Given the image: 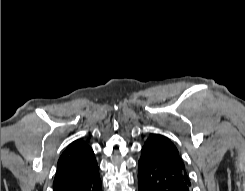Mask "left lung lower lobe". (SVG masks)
<instances>
[{
  "mask_svg": "<svg viewBox=\"0 0 245 191\" xmlns=\"http://www.w3.org/2000/svg\"><path fill=\"white\" fill-rule=\"evenodd\" d=\"M139 191H191L185 167L142 148L138 161Z\"/></svg>",
  "mask_w": 245,
  "mask_h": 191,
  "instance_id": "1",
  "label": "left lung lower lobe"
}]
</instances>
